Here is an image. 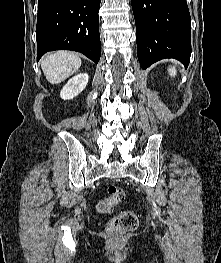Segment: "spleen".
<instances>
[{
  "label": "spleen",
  "mask_w": 221,
  "mask_h": 263,
  "mask_svg": "<svg viewBox=\"0 0 221 263\" xmlns=\"http://www.w3.org/2000/svg\"><path fill=\"white\" fill-rule=\"evenodd\" d=\"M168 72L171 77H175V75L177 74L176 68L172 66L168 68Z\"/></svg>",
  "instance_id": "1"
}]
</instances>
